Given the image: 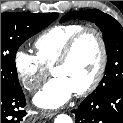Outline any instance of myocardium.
Segmentation results:
<instances>
[{
    "instance_id": "myocardium-1",
    "label": "myocardium",
    "mask_w": 123,
    "mask_h": 123,
    "mask_svg": "<svg viewBox=\"0 0 123 123\" xmlns=\"http://www.w3.org/2000/svg\"><path fill=\"white\" fill-rule=\"evenodd\" d=\"M87 34H93L98 43H99V50H100V61L97 67V71L94 74L93 78L91 79V81L82 89L74 91L76 95L78 96H84L89 94L90 92H92L101 82L104 73H105V69L107 66V46H106V41L103 37V34L100 30H98L95 27H84L83 29H81L80 31H78L77 33H75L65 44L63 51L60 55V57L58 58V60L55 62V64L52 67V73L53 71L62 66L65 65L69 59L72 56V53L76 47V45L78 44V42Z\"/></svg>"
}]
</instances>
